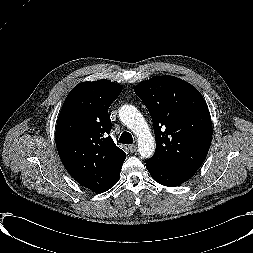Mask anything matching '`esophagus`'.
I'll return each instance as SVG.
<instances>
[{
    "mask_svg": "<svg viewBox=\"0 0 253 253\" xmlns=\"http://www.w3.org/2000/svg\"><path fill=\"white\" fill-rule=\"evenodd\" d=\"M128 148H129V151L132 153L137 150V146L135 144L129 145Z\"/></svg>",
    "mask_w": 253,
    "mask_h": 253,
    "instance_id": "34e87169",
    "label": "esophagus"
}]
</instances>
